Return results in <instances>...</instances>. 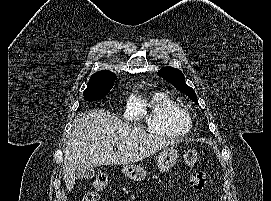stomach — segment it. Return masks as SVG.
I'll list each match as a JSON object with an SVG mask.
<instances>
[{"mask_svg": "<svg viewBox=\"0 0 271 201\" xmlns=\"http://www.w3.org/2000/svg\"><path fill=\"white\" fill-rule=\"evenodd\" d=\"M178 150L173 147H167L161 150L156 157L157 166L160 172H167L177 162ZM124 176L130 180L140 182L144 180L148 174L146 168L139 165L129 164L122 168Z\"/></svg>", "mask_w": 271, "mask_h": 201, "instance_id": "0dacf381", "label": "stomach"}]
</instances>
